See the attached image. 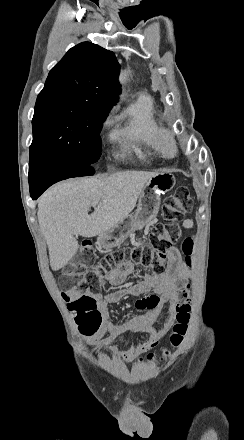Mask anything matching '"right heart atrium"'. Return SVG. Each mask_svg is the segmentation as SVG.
<instances>
[{
  "label": "right heart atrium",
  "instance_id": "1",
  "mask_svg": "<svg viewBox=\"0 0 244 440\" xmlns=\"http://www.w3.org/2000/svg\"><path fill=\"white\" fill-rule=\"evenodd\" d=\"M116 107H113L103 120V126H109L114 122Z\"/></svg>",
  "mask_w": 244,
  "mask_h": 440
}]
</instances>
